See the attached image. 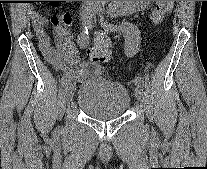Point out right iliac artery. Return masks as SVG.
I'll list each match as a JSON object with an SVG mask.
<instances>
[{
	"label": "right iliac artery",
	"mask_w": 207,
	"mask_h": 169,
	"mask_svg": "<svg viewBox=\"0 0 207 169\" xmlns=\"http://www.w3.org/2000/svg\"><path fill=\"white\" fill-rule=\"evenodd\" d=\"M100 10V6L98 5H93L87 16L85 19V26L82 30V32L80 33V35L78 36V43L84 48L87 46L88 42H89V33H90V29L92 26V21L93 18H95V15L98 13V11ZM72 79V77L68 74H64V76L62 77L61 83L62 84H67L68 82H70V80Z\"/></svg>",
	"instance_id": "82829eb1"
}]
</instances>
